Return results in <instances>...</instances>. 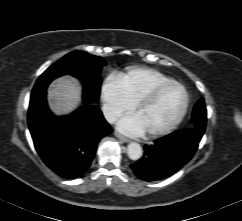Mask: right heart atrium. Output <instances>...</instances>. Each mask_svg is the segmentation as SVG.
Returning <instances> with one entry per match:
<instances>
[{"label": "right heart atrium", "instance_id": "d8ad5b80", "mask_svg": "<svg viewBox=\"0 0 242 221\" xmlns=\"http://www.w3.org/2000/svg\"><path fill=\"white\" fill-rule=\"evenodd\" d=\"M104 114L109 122H114L133 108L124 91L115 78H108L101 87Z\"/></svg>", "mask_w": 242, "mask_h": 221}]
</instances>
